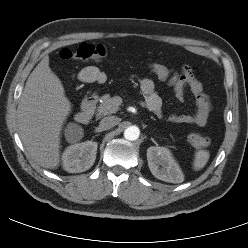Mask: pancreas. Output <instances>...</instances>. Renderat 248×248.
I'll use <instances>...</instances> for the list:
<instances>
[{
  "mask_svg": "<svg viewBox=\"0 0 248 248\" xmlns=\"http://www.w3.org/2000/svg\"><path fill=\"white\" fill-rule=\"evenodd\" d=\"M101 104L97 109V116H106L116 113L119 110V106L115 103L114 98L110 97L109 94H105L101 97Z\"/></svg>",
  "mask_w": 248,
  "mask_h": 248,
  "instance_id": "pancreas-1",
  "label": "pancreas"
}]
</instances>
